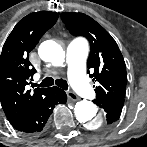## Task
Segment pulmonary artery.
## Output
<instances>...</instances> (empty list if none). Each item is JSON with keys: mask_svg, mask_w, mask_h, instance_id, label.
Listing matches in <instances>:
<instances>
[{"mask_svg": "<svg viewBox=\"0 0 147 147\" xmlns=\"http://www.w3.org/2000/svg\"><path fill=\"white\" fill-rule=\"evenodd\" d=\"M88 53V47L84 40H72L66 51L68 71L71 84L74 89L84 98L93 95V89L83 75V65Z\"/></svg>", "mask_w": 147, "mask_h": 147, "instance_id": "e3ab8cb5", "label": "pulmonary artery"}]
</instances>
